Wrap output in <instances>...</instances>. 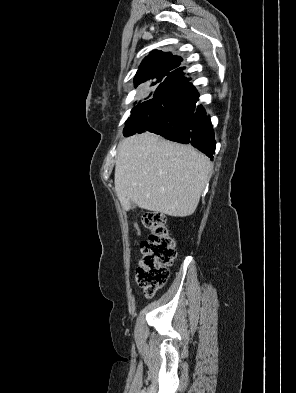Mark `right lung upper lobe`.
<instances>
[{
  "instance_id": "1",
  "label": "right lung upper lobe",
  "mask_w": 296,
  "mask_h": 393,
  "mask_svg": "<svg viewBox=\"0 0 296 393\" xmlns=\"http://www.w3.org/2000/svg\"><path fill=\"white\" fill-rule=\"evenodd\" d=\"M181 61V57L172 55L170 52L152 51L150 55L142 61L135 75V86L150 79L164 80L166 77L181 69L177 68Z\"/></svg>"
}]
</instances>
